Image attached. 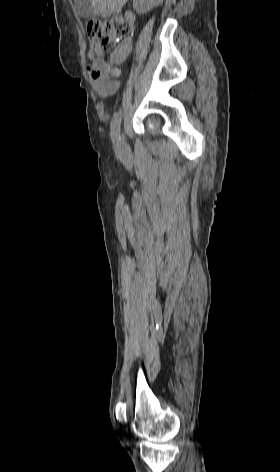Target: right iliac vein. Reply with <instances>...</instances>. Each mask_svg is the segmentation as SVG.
Segmentation results:
<instances>
[{
	"label": "right iliac vein",
	"mask_w": 280,
	"mask_h": 472,
	"mask_svg": "<svg viewBox=\"0 0 280 472\" xmlns=\"http://www.w3.org/2000/svg\"><path fill=\"white\" fill-rule=\"evenodd\" d=\"M119 151H120V154L123 157H127V156L130 155V149H129V146L127 145L126 141L124 140V137H122V141L120 143Z\"/></svg>",
	"instance_id": "63e3f726"
}]
</instances>
